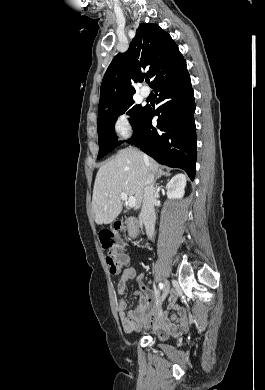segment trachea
<instances>
[{"mask_svg": "<svg viewBox=\"0 0 265 390\" xmlns=\"http://www.w3.org/2000/svg\"><path fill=\"white\" fill-rule=\"evenodd\" d=\"M145 81L148 83L149 82V78H146Z\"/></svg>", "mask_w": 265, "mask_h": 390, "instance_id": "3493384b", "label": "trachea"}]
</instances>
